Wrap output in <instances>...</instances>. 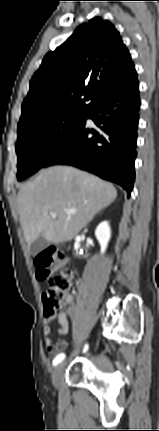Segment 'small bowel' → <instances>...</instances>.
Returning <instances> with one entry per match:
<instances>
[{
    "label": "small bowel",
    "mask_w": 159,
    "mask_h": 431,
    "mask_svg": "<svg viewBox=\"0 0 159 431\" xmlns=\"http://www.w3.org/2000/svg\"><path fill=\"white\" fill-rule=\"evenodd\" d=\"M72 302H73V297L71 295H67L63 301L62 308L58 314V317H57L59 322L58 333L60 335H66L69 331V323H68L66 308L69 305H71ZM43 337H44L45 347L50 354H57L65 350L68 346V343L65 339H59L57 340L56 343H53V340L51 337V327L49 325L48 319L45 320V323L43 326Z\"/></svg>",
    "instance_id": "c3829d8e"
}]
</instances>
